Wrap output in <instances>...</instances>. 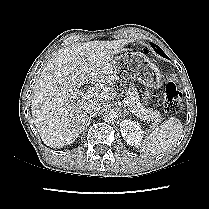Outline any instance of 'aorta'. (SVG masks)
<instances>
[{
	"instance_id": "762f6f07",
	"label": "aorta",
	"mask_w": 209,
	"mask_h": 209,
	"mask_svg": "<svg viewBox=\"0 0 209 209\" xmlns=\"http://www.w3.org/2000/svg\"><path fill=\"white\" fill-rule=\"evenodd\" d=\"M102 118L106 123L114 124L119 120L120 115L117 111L111 109V110L105 111Z\"/></svg>"
}]
</instances>
